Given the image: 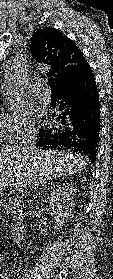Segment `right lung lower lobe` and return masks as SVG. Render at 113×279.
Returning <instances> with one entry per match:
<instances>
[{
    "instance_id": "right-lung-lower-lobe-1",
    "label": "right lung lower lobe",
    "mask_w": 113,
    "mask_h": 279,
    "mask_svg": "<svg viewBox=\"0 0 113 279\" xmlns=\"http://www.w3.org/2000/svg\"><path fill=\"white\" fill-rule=\"evenodd\" d=\"M57 92L60 100L57 106V123L50 128L40 129L38 143L48 148L80 152L95 162L100 131V106L98 89L90 66L80 77L58 88Z\"/></svg>"
}]
</instances>
